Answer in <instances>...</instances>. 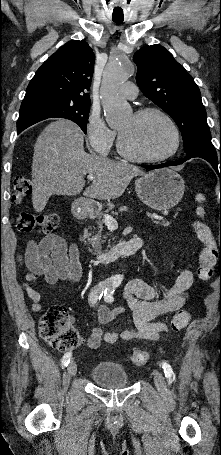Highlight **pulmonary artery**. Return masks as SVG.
<instances>
[{
    "mask_svg": "<svg viewBox=\"0 0 221 455\" xmlns=\"http://www.w3.org/2000/svg\"><path fill=\"white\" fill-rule=\"evenodd\" d=\"M120 94L126 99H135L138 95V88L133 82H125L120 87Z\"/></svg>",
    "mask_w": 221,
    "mask_h": 455,
    "instance_id": "1",
    "label": "pulmonary artery"
}]
</instances>
